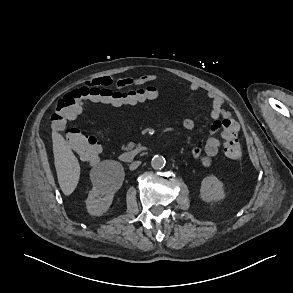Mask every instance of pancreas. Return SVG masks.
Returning <instances> with one entry per match:
<instances>
[{
	"label": "pancreas",
	"mask_w": 293,
	"mask_h": 293,
	"mask_svg": "<svg viewBox=\"0 0 293 293\" xmlns=\"http://www.w3.org/2000/svg\"><path fill=\"white\" fill-rule=\"evenodd\" d=\"M134 147H135V144L132 143V142H130V143H128L127 147L124 148V150H131V149L134 148ZM139 149H140V147L138 146V147L136 148V151H138Z\"/></svg>",
	"instance_id": "pancreas-1"
}]
</instances>
